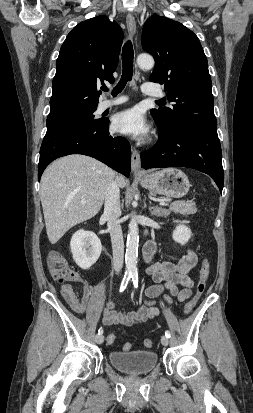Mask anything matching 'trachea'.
<instances>
[{
  "instance_id": "3493384b",
  "label": "trachea",
  "mask_w": 253,
  "mask_h": 413,
  "mask_svg": "<svg viewBox=\"0 0 253 413\" xmlns=\"http://www.w3.org/2000/svg\"><path fill=\"white\" fill-rule=\"evenodd\" d=\"M133 57H134V51H133V45L131 41H127L122 49V65H123V72L121 79L117 86L114 88L112 95L116 96L118 93H120L125 85L127 84L128 81L132 80V75H133ZM103 91H108L107 88H104ZM158 103H162L161 100L157 101Z\"/></svg>"
}]
</instances>
